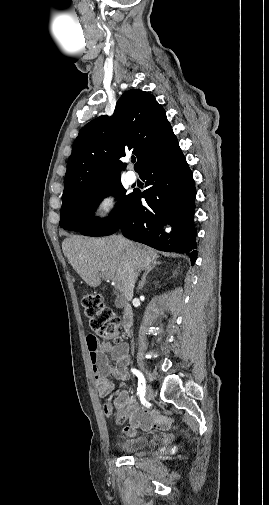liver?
I'll return each mask as SVG.
<instances>
[{"label":"liver","mask_w":269,"mask_h":505,"mask_svg":"<svg viewBox=\"0 0 269 505\" xmlns=\"http://www.w3.org/2000/svg\"><path fill=\"white\" fill-rule=\"evenodd\" d=\"M62 250L73 269L91 287L101 284V276H112L121 285L124 299L131 301L137 272L156 261L154 249L120 235L99 239L73 236L64 239Z\"/></svg>","instance_id":"liver-1"}]
</instances>
